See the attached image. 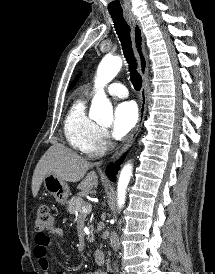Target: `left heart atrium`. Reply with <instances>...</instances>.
Returning a JSON list of instances; mask_svg holds the SVG:
<instances>
[{
	"label": "left heart atrium",
	"instance_id": "obj_1",
	"mask_svg": "<svg viewBox=\"0 0 215 274\" xmlns=\"http://www.w3.org/2000/svg\"><path fill=\"white\" fill-rule=\"evenodd\" d=\"M138 121L137 106L133 102H122L115 108L112 134L116 139H122Z\"/></svg>",
	"mask_w": 215,
	"mask_h": 274
}]
</instances>
